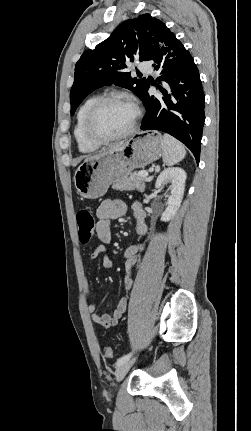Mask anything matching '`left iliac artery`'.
<instances>
[{
	"label": "left iliac artery",
	"mask_w": 251,
	"mask_h": 431,
	"mask_svg": "<svg viewBox=\"0 0 251 431\" xmlns=\"http://www.w3.org/2000/svg\"><path fill=\"white\" fill-rule=\"evenodd\" d=\"M130 356H131V354L129 353V354H126V355H124V356L120 357V358L117 360L116 365L118 366V365H120V364H122V363H124V362L128 361V359L130 358Z\"/></svg>",
	"instance_id": "1"
}]
</instances>
